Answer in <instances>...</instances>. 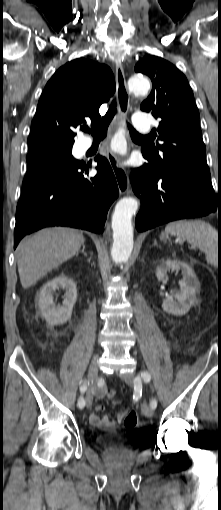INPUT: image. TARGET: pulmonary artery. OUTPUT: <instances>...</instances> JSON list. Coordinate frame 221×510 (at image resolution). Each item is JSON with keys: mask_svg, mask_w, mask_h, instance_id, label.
I'll use <instances>...</instances> for the list:
<instances>
[{"mask_svg": "<svg viewBox=\"0 0 221 510\" xmlns=\"http://www.w3.org/2000/svg\"><path fill=\"white\" fill-rule=\"evenodd\" d=\"M132 126L140 132H148L151 128V120L145 113H135L132 118Z\"/></svg>", "mask_w": 221, "mask_h": 510, "instance_id": "obj_1", "label": "pulmonary artery"}]
</instances>
